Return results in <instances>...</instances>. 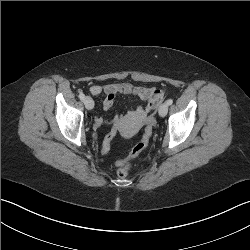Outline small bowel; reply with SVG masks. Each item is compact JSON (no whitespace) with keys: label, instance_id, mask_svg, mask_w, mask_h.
I'll use <instances>...</instances> for the list:
<instances>
[{"label":"small bowel","instance_id":"c3829d8e","mask_svg":"<svg viewBox=\"0 0 250 250\" xmlns=\"http://www.w3.org/2000/svg\"><path fill=\"white\" fill-rule=\"evenodd\" d=\"M90 92L93 95H103V108L109 110L112 108L117 95H132L146 102L144 106H137L128 111L126 115H115L112 118L113 125H118L123 119L128 118L137 122L143 121L146 116L155 109L154 100L157 89L154 87L137 86L128 82L110 83L106 85H92ZM105 121L101 117H96L95 125L101 127Z\"/></svg>","mask_w":250,"mask_h":250}]
</instances>
